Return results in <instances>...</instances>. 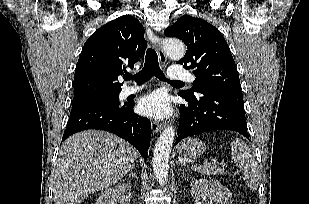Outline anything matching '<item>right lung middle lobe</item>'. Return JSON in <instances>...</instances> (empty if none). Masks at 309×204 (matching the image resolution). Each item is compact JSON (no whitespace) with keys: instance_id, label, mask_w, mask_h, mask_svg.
<instances>
[{"instance_id":"1","label":"right lung middle lobe","mask_w":309,"mask_h":204,"mask_svg":"<svg viewBox=\"0 0 309 204\" xmlns=\"http://www.w3.org/2000/svg\"><path fill=\"white\" fill-rule=\"evenodd\" d=\"M90 105H116L119 106V93L106 95L86 102L72 104V108H79Z\"/></svg>"}]
</instances>
